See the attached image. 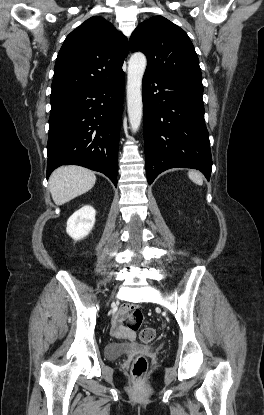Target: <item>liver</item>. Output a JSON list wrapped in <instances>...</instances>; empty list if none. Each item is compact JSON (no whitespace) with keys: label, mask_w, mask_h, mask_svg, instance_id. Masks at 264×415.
Listing matches in <instances>:
<instances>
[{"label":"liver","mask_w":264,"mask_h":415,"mask_svg":"<svg viewBox=\"0 0 264 415\" xmlns=\"http://www.w3.org/2000/svg\"><path fill=\"white\" fill-rule=\"evenodd\" d=\"M94 172L84 167L68 165L57 168L49 178V189L57 205L88 192L95 184Z\"/></svg>","instance_id":"6515ba94"}]
</instances>
